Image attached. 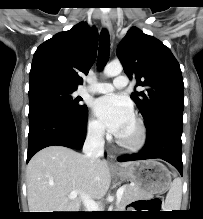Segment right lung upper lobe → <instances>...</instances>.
<instances>
[{
	"label": "right lung upper lobe",
	"mask_w": 203,
	"mask_h": 219,
	"mask_svg": "<svg viewBox=\"0 0 203 219\" xmlns=\"http://www.w3.org/2000/svg\"><path fill=\"white\" fill-rule=\"evenodd\" d=\"M98 32L80 22L41 44L34 53L29 83L55 81L77 88L88 73L97 55Z\"/></svg>",
	"instance_id": "right-lung-upper-lobe-1"
}]
</instances>
